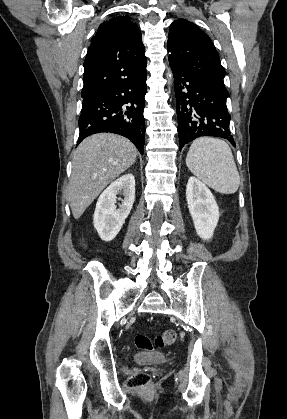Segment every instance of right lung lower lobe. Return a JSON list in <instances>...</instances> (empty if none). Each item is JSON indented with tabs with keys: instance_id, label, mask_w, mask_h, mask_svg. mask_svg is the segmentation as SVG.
<instances>
[{
	"instance_id": "1",
	"label": "right lung lower lobe",
	"mask_w": 287,
	"mask_h": 419,
	"mask_svg": "<svg viewBox=\"0 0 287 419\" xmlns=\"http://www.w3.org/2000/svg\"><path fill=\"white\" fill-rule=\"evenodd\" d=\"M146 77L145 72L138 78L109 89L83 103L77 144L89 135L111 132L127 137L143 154Z\"/></svg>"
}]
</instances>
